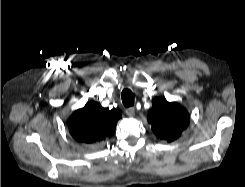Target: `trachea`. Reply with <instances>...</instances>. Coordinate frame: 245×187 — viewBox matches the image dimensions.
I'll list each match as a JSON object with an SVG mask.
<instances>
[{"instance_id":"3493384b","label":"trachea","mask_w":245,"mask_h":187,"mask_svg":"<svg viewBox=\"0 0 245 187\" xmlns=\"http://www.w3.org/2000/svg\"><path fill=\"white\" fill-rule=\"evenodd\" d=\"M121 98L124 106L131 107L134 104V94L129 89H124L121 93Z\"/></svg>"}]
</instances>
